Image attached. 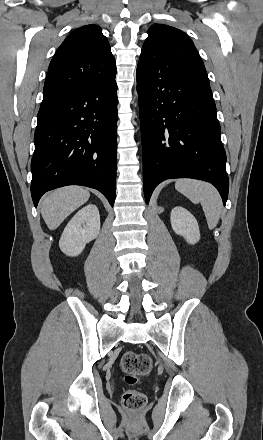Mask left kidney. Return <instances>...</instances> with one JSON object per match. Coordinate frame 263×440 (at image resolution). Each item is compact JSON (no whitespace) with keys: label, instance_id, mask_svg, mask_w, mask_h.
<instances>
[{"label":"left kidney","instance_id":"left-kidney-1","mask_svg":"<svg viewBox=\"0 0 263 440\" xmlns=\"http://www.w3.org/2000/svg\"><path fill=\"white\" fill-rule=\"evenodd\" d=\"M170 221L173 231L185 238L190 244H195L200 240V231L197 220L185 208L174 207L170 214Z\"/></svg>","mask_w":263,"mask_h":440}]
</instances>
